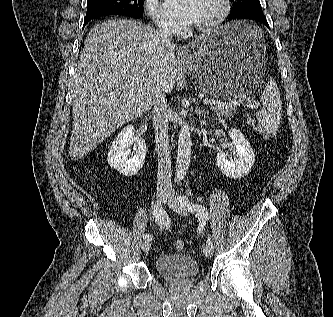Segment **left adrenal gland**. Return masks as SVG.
Returning <instances> with one entry per match:
<instances>
[{"label":"left adrenal gland","instance_id":"obj_1","mask_svg":"<svg viewBox=\"0 0 333 317\" xmlns=\"http://www.w3.org/2000/svg\"><path fill=\"white\" fill-rule=\"evenodd\" d=\"M195 114L197 116H200L201 114L202 115L203 114L207 115V114H209V111L197 106L196 109H195Z\"/></svg>","mask_w":333,"mask_h":317}]
</instances>
